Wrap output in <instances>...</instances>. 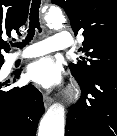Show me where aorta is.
Instances as JSON below:
<instances>
[{"label":"aorta","instance_id":"1","mask_svg":"<svg viewBox=\"0 0 117 136\" xmlns=\"http://www.w3.org/2000/svg\"><path fill=\"white\" fill-rule=\"evenodd\" d=\"M45 21L54 28H61L65 17L61 10L51 8L45 16ZM65 109L59 103L53 104L40 121L38 136H64Z\"/></svg>","mask_w":117,"mask_h":136}]
</instances>
